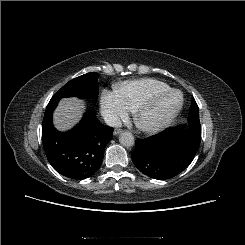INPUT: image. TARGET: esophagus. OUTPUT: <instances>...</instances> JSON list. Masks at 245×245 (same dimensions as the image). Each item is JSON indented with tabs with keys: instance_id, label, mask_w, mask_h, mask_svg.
Here are the masks:
<instances>
[{
	"instance_id": "esophagus-1",
	"label": "esophagus",
	"mask_w": 245,
	"mask_h": 245,
	"mask_svg": "<svg viewBox=\"0 0 245 245\" xmlns=\"http://www.w3.org/2000/svg\"><path fill=\"white\" fill-rule=\"evenodd\" d=\"M122 131H123L122 129L116 128V129H114V135H118V134H120Z\"/></svg>"
}]
</instances>
